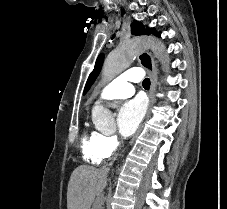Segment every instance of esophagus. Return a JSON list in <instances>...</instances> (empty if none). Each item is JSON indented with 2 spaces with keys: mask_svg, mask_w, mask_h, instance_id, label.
Instances as JSON below:
<instances>
[{
  "mask_svg": "<svg viewBox=\"0 0 227 209\" xmlns=\"http://www.w3.org/2000/svg\"><path fill=\"white\" fill-rule=\"evenodd\" d=\"M137 60L139 65H141V67H143L146 70L148 76L150 77L151 87H150L149 103L150 105H152L153 102L155 101L154 93L156 92L157 81H158L157 67L155 65V60L149 54V52L145 50L139 53V55L137 56Z\"/></svg>",
  "mask_w": 227,
  "mask_h": 209,
  "instance_id": "1",
  "label": "esophagus"
}]
</instances>
